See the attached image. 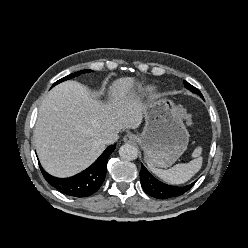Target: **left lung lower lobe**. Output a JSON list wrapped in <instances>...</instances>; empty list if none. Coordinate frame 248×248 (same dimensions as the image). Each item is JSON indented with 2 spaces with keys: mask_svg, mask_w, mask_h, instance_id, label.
I'll list each match as a JSON object with an SVG mask.
<instances>
[{
  "mask_svg": "<svg viewBox=\"0 0 248 248\" xmlns=\"http://www.w3.org/2000/svg\"><path fill=\"white\" fill-rule=\"evenodd\" d=\"M140 180L143 190L148 195L157 199H167L180 196L187 192L195 184V182H193L190 185L182 187L164 184L154 178L143 164H141Z\"/></svg>",
  "mask_w": 248,
  "mask_h": 248,
  "instance_id": "left-lung-lower-lobe-1",
  "label": "left lung lower lobe"
}]
</instances>
